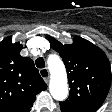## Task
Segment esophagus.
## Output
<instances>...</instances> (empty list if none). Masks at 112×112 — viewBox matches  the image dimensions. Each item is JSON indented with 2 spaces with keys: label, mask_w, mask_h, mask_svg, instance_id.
Listing matches in <instances>:
<instances>
[{
  "label": "esophagus",
  "mask_w": 112,
  "mask_h": 112,
  "mask_svg": "<svg viewBox=\"0 0 112 112\" xmlns=\"http://www.w3.org/2000/svg\"><path fill=\"white\" fill-rule=\"evenodd\" d=\"M39 73L42 76V78L44 79V81L46 83H49V79H50L49 70L47 68H43L39 71Z\"/></svg>",
  "instance_id": "esophagus-1"
}]
</instances>
